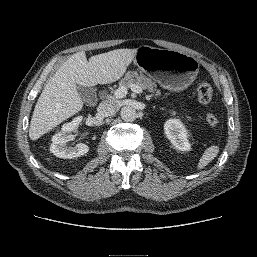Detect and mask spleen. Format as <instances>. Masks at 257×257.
<instances>
[{
    "mask_svg": "<svg viewBox=\"0 0 257 257\" xmlns=\"http://www.w3.org/2000/svg\"><path fill=\"white\" fill-rule=\"evenodd\" d=\"M219 153V147L218 146H210L208 147L202 157L200 158L198 165H197V169L201 170L203 169L205 166H207L213 159H215L217 157Z\"/></svg>",
    "mask_w": 257,
    "mask_h": 257,
    "instance_id": "obj_1",
    "label": "spleen"
}]
</instances>
